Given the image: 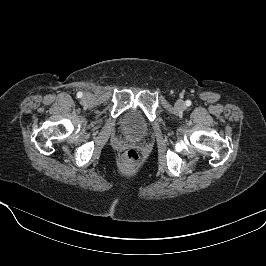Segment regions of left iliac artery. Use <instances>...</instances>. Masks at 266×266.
Returning <instances> with one entry per match:
<instances>
[{
  "instance_id": "1",
  "label": "left iliac artery",
  "mask_w": 266,
  "mask_h": 266,
  "mask_svg": "<svg viewBox=\"0 0 266 266\" xmlns=\"http://www.w3.org/2000/svg\"><path fill=\"white\" fill-rule=\"evenodd\" d=\"M186 105H187V106H190V105H191V101H190V100H187V101H186Z\"/></svg>"
}]
</instances>
